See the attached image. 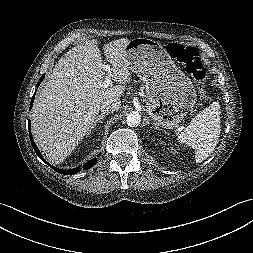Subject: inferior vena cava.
Listing matches in <instances>:
<instances>
[{
	"mask_svg": "<svg viewBox=\"0 0 253 253\" xmlns=\"http://www.w3.org/2000/svg\"><path fill=\"white\" fill-rule=\"evenodd\" d=\"M121 106V101L119 99H110L104 101L101 106L100 110L103 114L113 113L117 111Z\"/></svg>",
	"mask_w": 253,
	"mask_h": 253,
	"instance_id": "602c4592",
	"label": "inferior vena cava"
}]
</instances>
